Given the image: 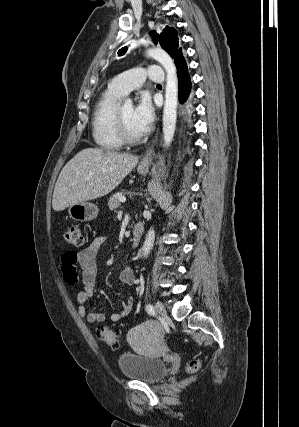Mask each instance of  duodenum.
Returning a JSON list of instances; mask_svg holds the SVG:
<instances>
[{"label": "duodenum", "mask_w": 299, "mask_h": 427, "mask_svg": "<svg viewBox=\"0 0 299 427\" xmlns=\"http://www.w3.org/2000/svg\"><path fill=\"white\" fill-rule=\"evenodd\" d=\"M132 233H133V247H137L141 242V238L143 234V225L141 223L133 224Z\"/></svg>", "instance_id": "1"}]
</instances>
